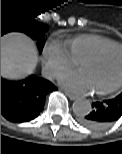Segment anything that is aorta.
<instances>
[{
  "instance_id": "762f6f07",
  "label": "aorta",
  "mask_w": 122,
  "mask_h": 154,
  "mask_svg": "<svg viewBox=\"0 0 122 154\" xmlns=\"http://www.w3.org/2000/svg\"><path fill=\"white\" fill-rule=\"evenodd\" d=\"M72 108L77 116H85L91 112V103L87 99L78 98L74 101Z\"/></svg>"
}]
</instances>
